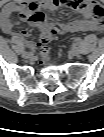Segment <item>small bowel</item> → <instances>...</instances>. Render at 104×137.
Segmentation results:
<instances>
[{"label":"small bowel","instance_id":"obj_1","mask_svg":"<svg viewBox=\"0 0 104 137\" xmlns=\"http://www.w3.org/2000/svg\"><path fill=\"white\" fill-rule=\"evenodd\" d=\"M61 7H68L80 12L86 20H80L69 24L59 25L50 21L48 18L42 23H35L31 20L33 14L39 9L53 11ZM17 14L14 21L13 16ZM104 8L96 0H30L14 1L6 4L2 9L0 16V25L4 33L13 35L15 38L23 41L28 36L27 31L15 33L14 24L29 22L39 26L43 31L53 27L60 34H69L73 32H96L103 26Z\"/></svg>","mask_w":104,"mask_h":137}]
</instances>
